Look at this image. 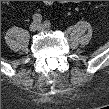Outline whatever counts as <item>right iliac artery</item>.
Wrapping results in <instances>:
<instances>
[{
	"instance_id": "obj_1",
	"label": "right iliac artery",
	"mask_w": 109,
	"mask_h": 109,
	"mask_svg": "<svg viewBox=\"0 0 109 109\" xmlns=\"http://www.w3.org/2000/svg\"><path fill=\"white\" fill-rule=\"evenodd\" d=\"M33 20H34V22L39 23L42 21V16L40 14H34Z\"/></svg>"
}]
</instances>
